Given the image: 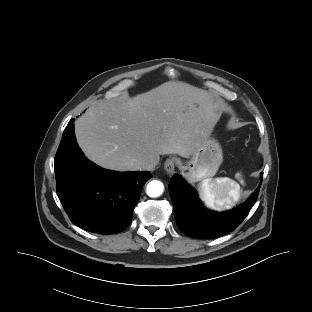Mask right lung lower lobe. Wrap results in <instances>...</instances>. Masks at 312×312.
Here are the masks:
<instances>
[{"mask_svg": "<svg viewBox=\"0 0 312 312\" xmlns=\"http://www.w3.org/2000/svg\"><path fill=\"white\" fill-rule=\"evenodd\" d=\"M57 194L70 220L100 234L123 231L132 220L148 171L115 172L87 160L78 147L74 124L63 133L54 161Z\"/></svg>", "mask_w": 312, "mask_h": 312, "instance_id": "1", "label": "right lung lower lobe"}]
</instances>
